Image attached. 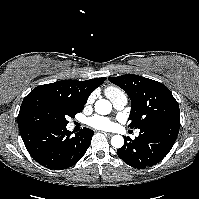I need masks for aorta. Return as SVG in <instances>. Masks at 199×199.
Returning a JSON list of instances; mask_svg holds the SVG:
<instances>
[{
	"mask_svg": "<svg viewBox=\"0 0 199 199\" xmlns=\"http://www.w3.org/2000/svg\"><path fill=\"white\" fill-rule=\"evenodd\" d=\"M95 111L100 115H107L112 110V104L106 99H99L95 103ZM111 145L114 148H121L124 145V138L121 135H114L111 138Z\"/></svg>",
	"mask_w": 199,
	"mask_h": 199,
	"instance_id": "762f6f07",
	"label": "aorta"
}]
</instances>
